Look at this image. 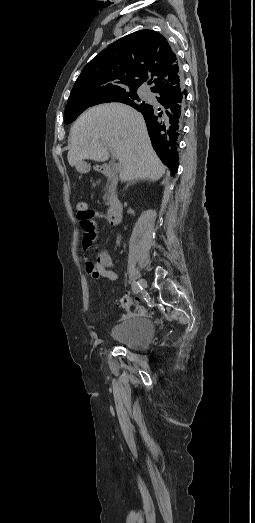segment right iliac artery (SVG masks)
<instances>
[{"instance_id":"1","label":"right iliac artery","mask_w":255,"mask_h":523,"mask_svg":"<svg viewBox=\"0 0 255 523\" xmlns=\"http://www.w3.org/2000/svg\"><path fill=\"white\" fill-rule=\"evenodd\" d=\"M141 286L138 282H132V290L135 294H137L140 291Z\"/></svg>"}]
</instances>
